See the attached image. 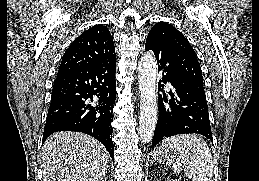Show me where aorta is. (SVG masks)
Wrapping results in <instances>:
<instances>
[{"mask_svg":"<svg viewBox=\"0 0 259 181\" xmlns=\"http://www.w3.org/2000/svg\"><path fill=\"white\" fill-rule=\"evenodd\" d=\"M157 62L155 57L144 54L138 65L140 90V117L138 133L142 143H148L154 134L157 123Z\"/></svg>","mask_w":259,"mask_h":181,"instance_id":"obj_1","label":"aorta"}]
</instances>
